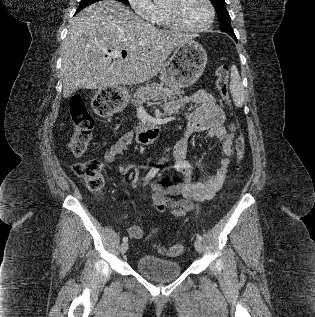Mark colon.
<instances>
[{
  "label": "colon",
  "mask_w": 315,
  "mask_h": 317,
  "mask_svg": "<svg viewBox=\"0 0 315 317\" xmlns=\"http://www.w3.org/2000/svg\"><path fill=\"white\" fill-rule=\"evenodd\" d=\"M229 74L228 64H221L217 67L216 87L223 99L229 106ZM116 95H102L101 91L97 93L94 99L95 111L102 116L108 115L109 111L107 98ZM70 115L73 123V134L69 143L71 153L75 157H81L87 152L89 143L92 139L94 119L85 106L83 99L79 96L73 97L70 101ZM245 155V139L239 134L235 141V157L237 167L241 164ZM74 173L84 180L87 187L95 192H102L105 185L104 172L101 162L96 159H90L74 163L72 166ZM185 246L181 243L174 244L168 248L160 247L159 250L167 256L176 257L183 253Z\"/></svg>",
  "instance_id": "1"
}]
</instances>
